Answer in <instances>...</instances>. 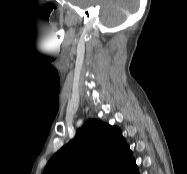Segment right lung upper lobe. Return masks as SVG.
I'll return each instance as SVG.
<instances>
[{
  "instance_id": "1",
  "label": "right lung upper lobe",
  "mask_w": 187,
  "mask_h": 174,
  "mask_svg": "<svg viewBox=\"0 0 187 174\" xmlns=\"http://www.w3.org/2000/svg\"><path fill=\"white\" fill-rule=\"evenodd\" d=\"M136 170L121 130L92 119L54 154L43 174H132Z\"/></svg>"
}]
</instances>
